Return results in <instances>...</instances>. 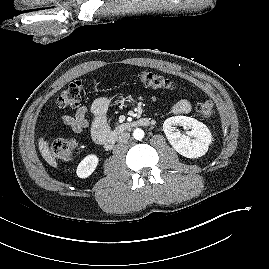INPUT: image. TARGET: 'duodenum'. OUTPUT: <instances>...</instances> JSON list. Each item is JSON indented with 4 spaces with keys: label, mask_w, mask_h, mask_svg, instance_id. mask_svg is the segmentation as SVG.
<instances>
[{
    "label": "duodenum",
    "mask_w": 269,
    "mask_h": 269,
    "mask_svg": "<svg viewBox=\"0 0 269 269\" xmlns=\"http://www.w3.org/2000/svg\"><path fill=\"white\" fill-rule=\"evenodd\" d=\"M150 125V120L148 118H139L137 120H134L130 123H125L120 125L116 130L110 132L107 134L105 140H104V146L106 149H112L115 145L118 136L123 133L126 129L130 127H138V126H148Z\"/></svg>",
    "instance_id": "410a0bca"
}]
</instances>
